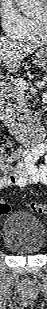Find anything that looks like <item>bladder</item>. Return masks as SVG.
I'll return each mask as SVG.
<instances>
[{
    "instance_id": "bladder-1",
    "label": "bladder",
    "mask_w": 47,
    "mask_h": 309,
    "mask_svg": "<svg viewBox=\"0 0 47 309\" xmlns=\"http://www.w3.org/2000/svg\"><path fill=\"white\" fill-rule=\"evenodd\" d=\"M45 228L41 221L27 212H15L4 221L2 241L11 252L33 255L45 247Z\"/></svg>"
}]
</instances>
